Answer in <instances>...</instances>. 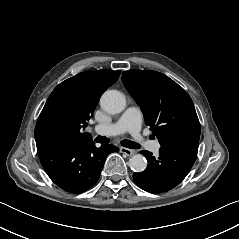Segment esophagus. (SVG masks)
Segmentation results:
<instances>
[{
  "instance_id": "esophagus-1",
  "label": "esophagus",
  "mask_w": 239,
  "mask_h": 239,
  "mask_svg": "<svg viewBox=\"0 0 239 239\" xmlns=\"http://www.w3.org/2000/svg\"><path fill=\"white\" fill-rule=\"evenodd\" d=\"M120 152L123 153V154H126L127 156H132L136 153V151L131 150L129 148H125V147H121Z\"/></svg>"
}]
</instances>
